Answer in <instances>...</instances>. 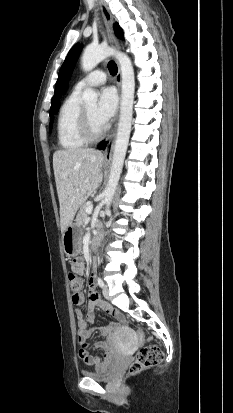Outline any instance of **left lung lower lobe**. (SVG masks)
Returning a JSON list of instances; mask_svg holds the SVG:
<instances>
[{
  "mask_svg": "<svg viewBox=\"0 0 233 413\" xmlns=\"http://www.w3.org/2000/svg\"><path fill=\"white\" fill-rule=\"evenodd\" d=\"M107 145V142L102 143L98 148L103 150L105 146Z\"/></svg>",
  "mask_w": 233,
  "mask_h": 413,
  "instance_id": "obj_1",
  "label": "left lung lower lobe"
}]
</instances>
